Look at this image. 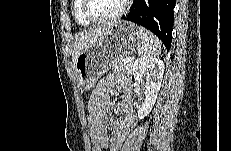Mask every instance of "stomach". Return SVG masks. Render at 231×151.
Returning <instances> with one entry per match:
<instances>
[{"label": "stomach", "instance_id": "0dacf381", "mask_svg": "<svg viewBox=\"0 0 231 151\" xmlns=\"http://www.w3.org/2000/svg\"><path fill=\"white\" fill-rule=\"evenodd\" d=\"M138 27L128 21H117L102 42L77 57L75 71L81 90L95 87L98 79L119 58L132 55L141 46Z\"/></svg>", "mask_w": 231, "mask_h": 151}]
</instances>
